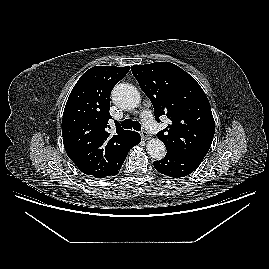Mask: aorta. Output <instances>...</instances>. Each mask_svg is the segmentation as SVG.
<instances>
[{"label": "aorta", "instance_id": "1", "mask_svg": "<svg viewBox=\"0 0 269 269\" xmlns=\"http://www.w3.org/2000/svg\"><path fill=\"white\" fill-rule=\"evenodd\" d=\"M112 99L114 103L125 109H132L140 103V93L137 88L128 83H121L115 86L112 91ZM147 153L154 160H161L166 155L164 143L153 138L147 142Z\"/></svg>", "mask_w": 269, "mask_h": 269}]
</instances>
